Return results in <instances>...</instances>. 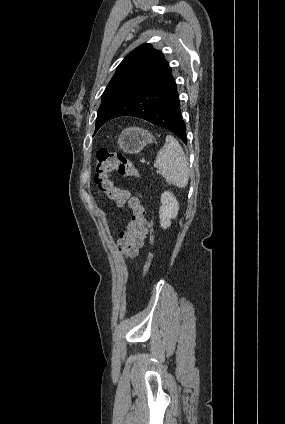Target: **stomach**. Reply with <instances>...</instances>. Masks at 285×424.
I'll return each mask as SVG.
<instances>
[{
  "instance_id": "1",
  "label": "stomach",
  "mask_w": 285,
  "mask_h": 424,
  "mask_svg": "<svg viewBox=\"0 0 285 424\" xmlns=\"http://www.w3.org/2000/svg\"><path fill=\"white\" fill-rule=\"evenodd\" d=\"M155 140L154 136L147 130L130 127L126 128L118 138L119 148L126 153H139L142 149Z\"/></svg>"
}]
</instances>
